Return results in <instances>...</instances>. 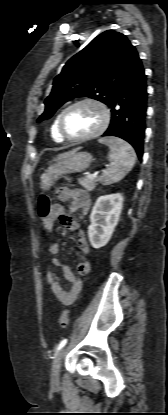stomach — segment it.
<instances>
[{
    "instance_id": "1",
    "label": "stomach",
    "mask_w": 168,
    "mask_h": 415,
    "mask_svg": "<svg viewBox=\"0 0 168 415\" xmlns=\"http://www.w3.org/2000/svg\"><path fill=\"white\" fill-rule=\"evenodd\" d=\"M93 162V157L88 152L73 150L58 159L51 165L41 178V188L49 190L63 175L82 172Z\"/></svg>"
}]
</instances>
